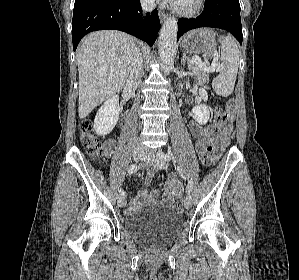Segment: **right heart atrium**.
<instances>
[{
    "mask_svg": "<svg viewBox=\"0 0 299 280\" xmlns=\"http://www.w3.org/2000/svg\"><path fill=\"white\" fill-rule=\"evenodd\" d=\"M154 0H142L145 5H151Z\"/></svg>",
    "mask_w": 299,
    "mask_h": 280,
    "instance_id": "right-heart-atrium-1",
    "label": "right heart atrium"
}]
</instances>
